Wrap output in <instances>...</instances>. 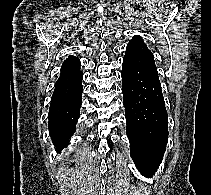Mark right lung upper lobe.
I'll return each mask as SVG.
<instances>
[{"mask_svg": "<svg viewBox=\"0 0 211 195\" xmlns=\"http://www.w3.org/2000/svg\"><path fill=\"white\" fill-rule=\"evenodd\" d=\"M80 66V60L77 57L70 56L62 64L60 71L65 72Z\"/></svg>", "mask_w": 211, "mask_h": 195, "instance_id": "obj_1", "label": "right lung upper lobe"}]
</instances>
